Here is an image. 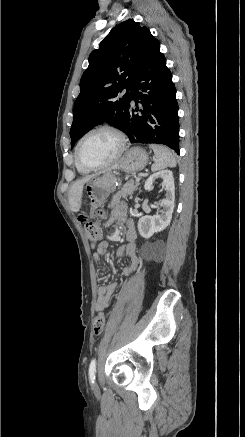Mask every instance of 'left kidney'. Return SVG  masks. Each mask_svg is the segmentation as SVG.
<instances>
[{
  "instance_id": "left-kidney-1",
  "label": "left kidney",
  "mask_w": 245,
  "mask_h": 437,
  "mask_svg": "<svg viewBox=\"0 0 245 437\" xmlns=\"http://www.w3.org/2000/svg\"><path fill=\"white\" fill-rule=\"evenodd\" d=\"M161 178L162 186L166 191L165 198L160 201L162 208L155 216H143L138 221V231L143 238H150L154 233L163 231L171 222L174 210L175 186L173 173L170 170H162L152 174L145 182L144 189L151 191L153 182Z\"/></svg>"
}]
</instances>
